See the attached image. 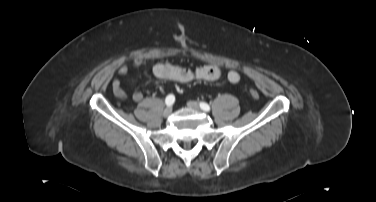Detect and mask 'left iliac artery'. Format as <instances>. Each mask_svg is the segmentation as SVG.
<instances>
[{"mask_svg": "<svg viewBox=\"0 0 376 202\" xmlns=\"http://www.w3.org/2000/svg\"><path fill=\"white\" fill-rule=\"evenodd\" d=\"M200 107L204 111H210V106L205 102H200Z\"/></svg>", "mask_w": 376, "mask_h": 202, "instance_id": "left-iliac-artery-1", "label": "left iliac artery"}]
</instances>
